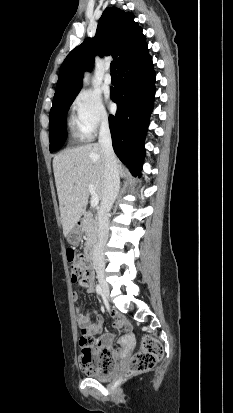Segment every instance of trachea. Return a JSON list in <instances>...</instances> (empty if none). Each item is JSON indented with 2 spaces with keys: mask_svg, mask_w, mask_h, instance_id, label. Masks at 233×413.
Returning a JSON list of instances; mask_svg holds the SVG:
<instances>
[{
  "mask_svg": "<svg viewBox=\"0 0 233 413\" xmlns=\"http://www.w3.org/2000/svg\"><path fill=\"white\" fill-rule=\"evenodd\" d=\"M110 68H111V74H116V70H115V62H114V61H113V62H111Z\"/></svg>",
  "mask_w": 233,
  "mask_h": 413,
  "instance_id": "3493384b",
  "label": "trachea"
}]
</instances>
